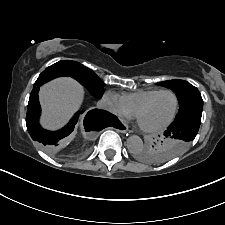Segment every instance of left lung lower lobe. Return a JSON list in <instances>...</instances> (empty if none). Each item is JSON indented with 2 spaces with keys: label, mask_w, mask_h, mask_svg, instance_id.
I'll return each mask as SVG.
<instances>
[{
  "label": "left lung lower lobe",
  "mask_w": 225,
  "mask_h": 225,
  "mask_svg": "<svg viewBox=\"0 0 225 225\" xmlns=\"http://www.w3.org/2000/svg\"><path fill=\"white\" fill-rule=\"evenodd\" d=\"M202 111H193L175 118L174 122L164 132L166 137L178 138L191 142L196 137L200 123ZM185 145L176 144L173 146L174 156L183 152ZM173 156V157H174Z\"/></svg>",
  "instance_id": "1"
}]
</instances>
